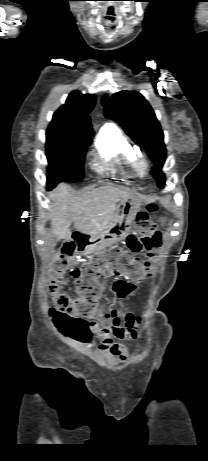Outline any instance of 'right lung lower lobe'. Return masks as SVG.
Here are the masks:
<instances>
[{
  "label": "right lung lower lobe",
  "mask_w": 208,
  "mask_h": 461,
  "mask_svg": "<svg viewBox=\"0 0 208 461\" xmlns=\"http://www.w3.org/2000/svg\"><path fill=\"white\" fill-rule=\"evenodd\" d=\"M55 186H56V185H55ZM55 186H48L47 189L50 190V189L54 188Z\"/></svg>",
  "instance_id": "98d812e1"
}]
</instances>
